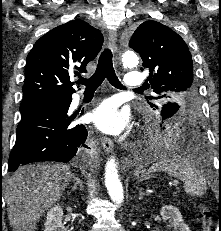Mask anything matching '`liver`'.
<instances>
[{
	"mask_svg": "<svg viewBox=\"0 0 221 231\" xmlns=\"http://www.w3.org/2000/svg\"><path fill=\"white\" fill-rule=\"evenodd\" d=\"M71 180L70 166L50 163L24 166L8 177L3 192L13 230L34 231Z\"/></svg>",
	"mask_w": 221,
	"mask_h": 231,
	"instance_id": "liver-1",
	"label": "liver"
}]
</instances>
